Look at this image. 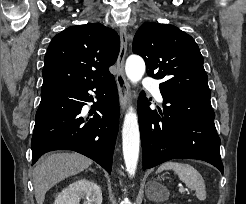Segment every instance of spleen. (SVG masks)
I'll list each match as a JSON object with an SVG mask.
<instances>
[{
    "instance_id": "obj_1",
    "label": "spleen",
    "mask_w": 246,
    "mask_h": 204,
    "mask_svg": "<svg viewBox=\"0 0 246 204\" xmlns=\"http://www.w3.org/2000/svg\"><path fill=\"white\" fill-rule=\"evenodd\" d=\"M173 170L187 187L195 190L196 196L200 201L206 199V186L202 175L190 164L168 161L161 164L157 172Z\"/></svg>"
}]
</instances>
